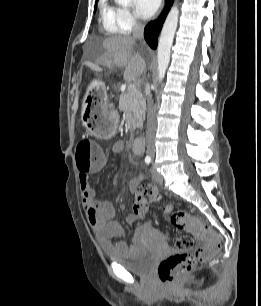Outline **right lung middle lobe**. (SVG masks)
<instances>
[{
    "label": "right lung middle lobe",
    "mask_w": 261,
    "mask_h": 306,
    "mask_svg": "<svg viewBox=\"0 0 261 306\" xmlns=\"http://www.w3.org/2000/svg\"><path fill=\"white\" fill-rule=\"evenodd\" d=\"M96 11V5H95V9H94V12Z\"/></svg>",
    "instance_id": "obj_1"
}]
</instances>
